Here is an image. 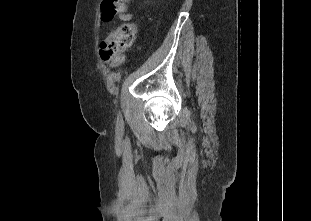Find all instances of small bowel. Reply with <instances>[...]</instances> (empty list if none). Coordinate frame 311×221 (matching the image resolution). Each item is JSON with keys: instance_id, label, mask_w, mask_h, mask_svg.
Instances as JSON below:
<instances>
[{"instance_id": "c3829d8e", "label": "small bowel", "mask_w": 311, "mask_h": 221, "mask_svg": "<svg viewBox=\"0 0 311 221\" xmlns=\"http://www.w3.org/2000/svg\"><path fill=\"white\" fill-rule=\"evenodd\" d=\"M134 18L133 14L127 12H120L119 19L124 22L131 21Z\"/></svg>"}]
</instances>
